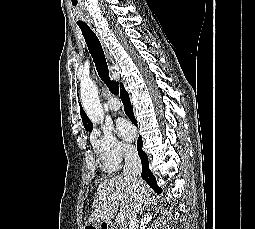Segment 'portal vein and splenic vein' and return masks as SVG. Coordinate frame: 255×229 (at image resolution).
<instances>
[{"mask_svg":"<svg viewBox=\"0 0 255 229\" xmlns=\"http://www.w3.org/2000/svg\"><path fill=\"white\" fill-rule=\"evenodd\" d=\"M121 197L120 196H117V195H115V196H112L111 198H109L108 200L109 201H111V200H115V199H120ZM124 220V215H123V213H118V215H117V221L118 222H122Z\"/></svg>","mask_w":255,"mask_h":229,"instance_id":"1","label":"portal vein and splenic vein"}]
</instances>
